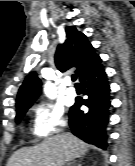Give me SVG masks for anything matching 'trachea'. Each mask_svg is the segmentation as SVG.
Masks as SVG:
<instances>
[{
  "label": "trachea",
  "mask_w": 135,
  "mask_h": 166,
  "mask_svg": "<svg viewBox=\"0 0 135 166\" xmlns=\"http://www.w3.org/2000/svg\"><path fill=\"white\" fill-rule=\"evenodd\" d=\"M77 80V76L75 74L72 75V81L75 82ZM78 85V83H76Z\"/></svg>",
  "instance_id": "trachea-1"
}]
</instances>
